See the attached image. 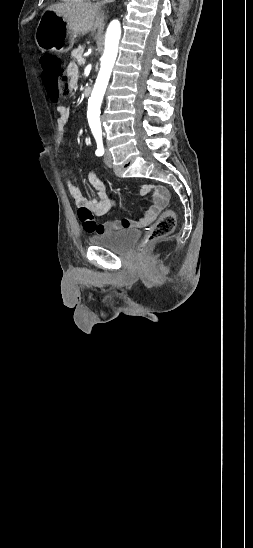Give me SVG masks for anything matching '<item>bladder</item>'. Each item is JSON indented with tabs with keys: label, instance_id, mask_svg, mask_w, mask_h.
I'll use <instances>...</instances> for the list:
<instances>
[{
	"label": "bladder",
	"instance_id": "31cf9c89",
	"mask_svg": "<svg viewBox=\"0 0 253 548\" xmlns=\"http://www.w3.org/2000/svg\"><path fill=\"white\" fill-rule=\"evenodd\" d=\"M140 232L135 229L110 231L90 237L93 245L104 247L115 253H126L136 242Z\"/></svg>",
	"mask_w": 253,
	"mask_h": 548
}]
</instances>
